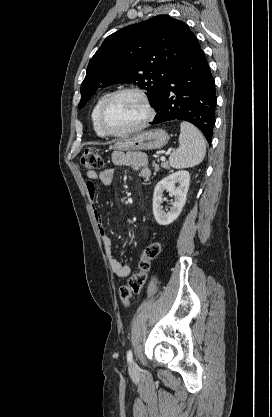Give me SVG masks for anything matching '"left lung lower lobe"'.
I'll return each mask as SVG.
<instances>
[{"label":"left lung lower lobe","instance_id":"1","mask_svg":"<svg viewBox=\"0 0 272 417\" xmlns=\"http://www.w3.org/2000/svg\"><path fill=\"white\" fill-rule=\"evenodd\" d=\"M216 100L213 76L200 48L167 80L155 106L158 113L152 124L169 120L188 121L211 142Z\"/></svg>","mask_w":272,"mask_h":417}]
</instances>
